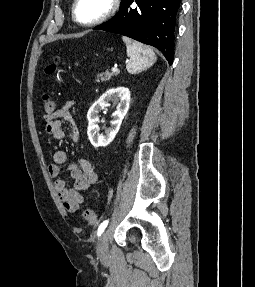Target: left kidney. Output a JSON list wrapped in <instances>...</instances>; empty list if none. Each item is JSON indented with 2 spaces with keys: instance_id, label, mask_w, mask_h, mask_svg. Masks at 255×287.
I'll return each mask as SVG.
<instances>
[{
  "instance_id": "left-kidney-1",
  "label": "left kidney",
  "mask_w": 255,
  "mask_h": 287,
  "mask_svg": "<svg viewBox=\"0 0 255 287\" xmlns=\"http://www.w3.org/2000/svg\"><path fill=\"white\" fill-rule=\"evenodd\" d=\"M110 100H116L119 104L116 112H113L112 114L113 120L111 124L113 128H111V130H107V132H105V136H103V134L99 136L98 124L100 120L98 114L101 110H106V106H108V102H110ZM130 100L131 92L128 88H112V90H107V92H105L97 102H94L87 114L89 122L87 134L94 147H99V145H103V147H105V145L110 144V142L114 140L117 132H119L122 120L129 110Z\"/></svg>"
}]
</instances>
